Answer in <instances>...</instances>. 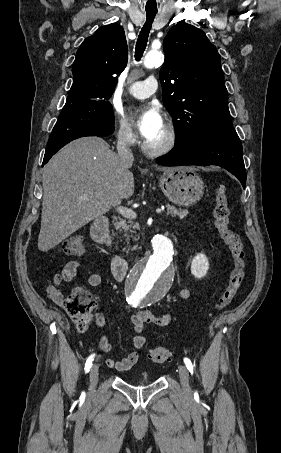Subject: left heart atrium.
Here are the masks:
<instances>
[{"label": "left heart atrium", "mask_w": 281, "mask_h": 453, "mask_svg": "<svg viewBox=\"0 0 281 453\" xmlns=\"http://www.w3.org/2000/svg\"><path fill=\"white\" fill-rule=\"evenodd\" d=\"M163 124L162 112L157 104L151 103L137 113V125L145 139Z\"/></svg>", "instance_id": "left-heart-atrium-1"}]
</instances>
